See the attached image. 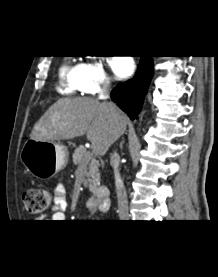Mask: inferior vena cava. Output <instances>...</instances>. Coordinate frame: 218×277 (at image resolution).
Instances as JSON below:
<instances>
[{
	"mask_svg": "<svg viewBox=\"0 0 218 277\" xmlns=\"http://www.w3.org/2000/svg\"><path fill=\"white\" fill-rule=\"evenodd\" d=\"M110 96V88L108 82H103L101 85V89L99 91V99L107 100ZM111 109L115 110L116 105L112 102H105ZM115 162H114V176H115V186H116V194L118 200V210H119V218L122 221H125L129 218L128 214V200L127 193L125 190L124 183L121 179L118 167H119V155L114 153Z\"/></svg>",
	"mask_w": 218,
	"mask_h": 277,
	"instance_id": "602c4592",
	"label": "inferior vena cava"
}]
</instances>
